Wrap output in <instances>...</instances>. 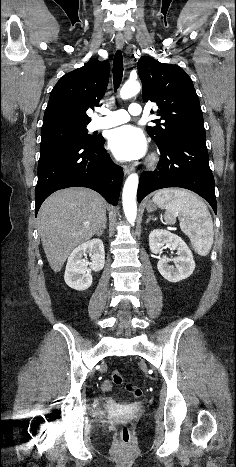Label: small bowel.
Listing matches in <instances>:
<instances>
[{
  "instance_id": "c3829d8e",
  "label": "small bowel",
  "mask_w": 236,
  "mask_h": 467,
  "mask_svg": "<svg viewBox=\"0 0 236 467\" xmlns=\"http://www.w3.org/2000/svg\"><path fill=\"white\" fill-rule=\"evenodd\" d=\"M105 387H106V388H109V387H110L109 381H105Z\"/></svg>"
}]
</instances>
